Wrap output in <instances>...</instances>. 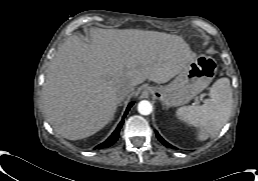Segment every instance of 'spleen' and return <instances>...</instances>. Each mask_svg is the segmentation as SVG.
<instances>
[{
    "label": "spleen",
    "instance_id": "1",
    "mask_svg": "<svg viewBox=\"0 0 258 181\" xmlns=\"http://www.w3.org/2000/svg\"><path fill=\"white\" fill-rule=\"evenodd\" d=\"M210 98L201 106H183L176 117L189 126L199 128L198 139L216 137L228 121L232 110V88L228 78H220L210 88Z\"/></svg>",
    "mask_w": 258,
    "mask_h": 181
}]
</instances>
